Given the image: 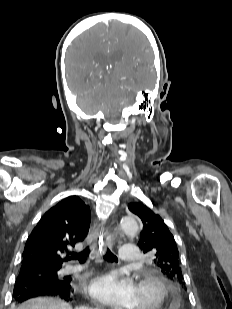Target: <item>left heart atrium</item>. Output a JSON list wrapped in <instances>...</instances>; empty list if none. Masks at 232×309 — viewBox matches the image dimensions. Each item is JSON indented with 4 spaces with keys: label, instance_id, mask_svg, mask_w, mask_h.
<instances>
[{
    "label": "left heart atrium",
    "instance_id": "obj_1",
    "mask_svg": "<svg viewBox=\"0 0 232 309\" xmlns=\"http://www.w3.org/2000/svg\"><path fill=\"white\" fill-rule=\"evenodd\" d=\"M87 293L93 299L114 309H133L137 286L129 278L116 272H107L89 282Z\"/></svg>",
    "mask_w": 232,
    "mask_h": 309
}]
</instances>
